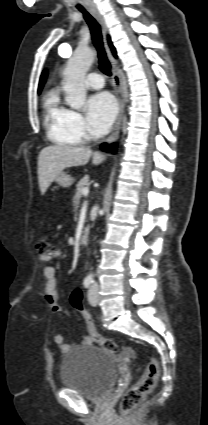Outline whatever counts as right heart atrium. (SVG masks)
<instances>
[{"label":"right heart atrium","instance_id":"right-heart-atrium-1","mask_svg":"<svg viewBox=\"0 0 208 425\" xmlns=\"http://www.w3.org/2000/svg\"><path fill=\"white\" fill-rule=\"evenodd\" d=\"M68 123L72 133L79 141H83L88 138L86 124L81 114L69 110Z\"/></svg>","mask_w":208,"mask_h":425}]
</instances>
